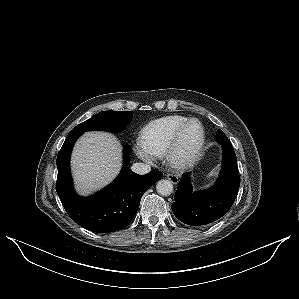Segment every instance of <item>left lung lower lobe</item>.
Instances as JSON below:
<instances>
[{"mask_svg":"<svg viewBox=\"0 0 299 299\" xmlns=\"http://www.w3.org/2000/svg\"><path fill=\"white\" fill-rule=\"evenodd\" d=\"M219 143L223 150L222 170L212 188L193 192L188 172L180 180L171 208L185 224L199 226L218 220L230 210L238 194L240 176L233 146L230 141Z\"/></svg>","mask_w":299,"mask_h":299,"instance_id":"0a47b994","label":"left lung lower lobe"}]
</instances>
